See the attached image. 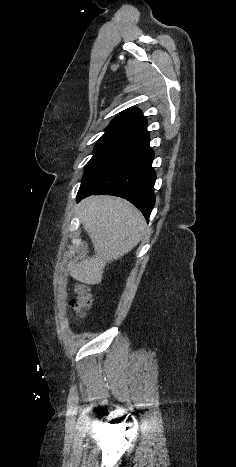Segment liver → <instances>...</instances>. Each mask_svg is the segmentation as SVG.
<instances>
[{"label": "liver", "instance_id": "1", "mask_svg": "<svg viewBox=\"0 0 236 467\" xmlns=\"http://www.w3.org/2000/svg\"><path fill=\"white\" fill-rule=\"evenodd\" d=\"M80 219L94 246L95 254L68 271L75 280L88 285L102 281L107 263L130 252L146 232L143 215L128 201L111 196H91L79 204Z\"/></svg>", "mask_w": 236, "mask_h": 467}]
</instances>
